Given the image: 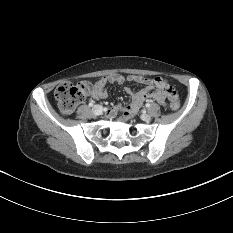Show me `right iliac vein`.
<instances>
[{
  "mask_svg": "<svg viewBox=\"0 0 233 233\" xmlns=\"http://www.w3.org/2000/svg\"><path fill=\"white\" fill-rule=\"evenodd\" d=\"M92 111L95 115H100L102 113V106L100 105H95L93 108H92Z\"/></svg>",
  "mask_w": 233,
  "mask_h": 233,
  "instance_id": "1",
  "label": "right iliac vein"
}]
</instances>
